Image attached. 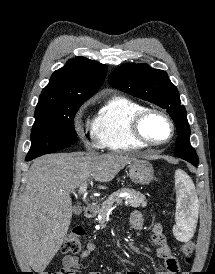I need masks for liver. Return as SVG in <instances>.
Listing matches in <instances>:
<instances>
[{
    "label": "liver",
    "instance_id": "1",
    "mask_svg": "<svg viewBox=\"0 0 215 274\" xmlns=\"http://www.w3.org/2000/svg\"><path fill=\"white\" fill-rule=\"evenodd\" d=\"M134 160L120 153L84 156L74 152L34 161L13 222L15 245L35 272L42 274L67 234L72 219L70 192L91 176L110 182Z\"/></svg>",
    "mask_w": 215,
    "mask_h": 274
}]
</instances>
